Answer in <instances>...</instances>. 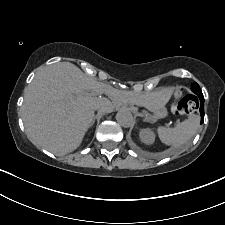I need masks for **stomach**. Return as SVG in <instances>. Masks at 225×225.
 I'll list each match as a JSON object with an SVG mask.
<instances>
[{"label":"stomach","instance_id":"0dacf381","mask_svg":"<svg viewBox=\"0 0 225 225\" xmlns=\"http://www.w3.org/2000/svg\"><path fill=\"white\" fill-rule=\"evenodd\" d=\"M170 98V93L168 90L160 91L148 96L144 101L143 106L153 112L165 111V104ZM165 116V115H164Z\"/></svg>","mask_w":225,"mask_h":225}]
</instances>
